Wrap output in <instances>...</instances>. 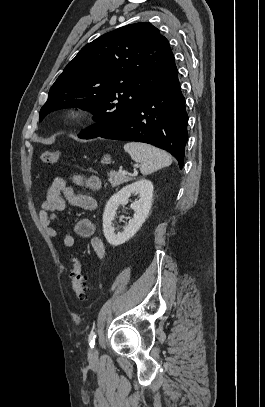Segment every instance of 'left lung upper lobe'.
<instances>
[{
    "label": "left lung upper lobe",
    "instance_id": "1",
    "mask_svg": "<svg viewBox=\"0 0 265 407\" xmlns=\"http://www.w3.org/2000/svg\"><path fill=\"white\" fill-rule=\"evenodd\" d=\"M177 73L169 42L156 27L126 25L85 45L68 63L49 91L40 121L62 108L91 110L97 122L79 138L98 137Z\"/></svg>",
    "mask_w": 265,
    "mask_h": 407
}]
</instances>
